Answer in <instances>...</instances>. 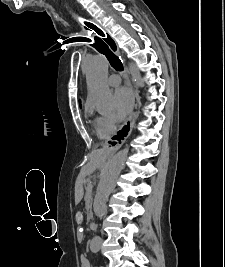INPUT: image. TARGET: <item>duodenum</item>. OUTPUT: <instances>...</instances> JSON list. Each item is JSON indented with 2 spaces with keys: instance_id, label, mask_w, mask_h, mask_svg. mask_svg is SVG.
Segmentation results:
<instances>
[{
  "instance_id": "obj_1",
  "label": "duodenum",
  "mask_w": 225,
  "mask_h": 267,
  "mask_svg": "<svg viewBox=\"0 0 225 267\" xmlns=\"http://www.w3.org/2000/svg\"><path fill=\"white\" fill-rule=\"evenodd\" d=\"M90 227H91L92 229H94V228L96 227V225H95L94 223H91V224H90Z\"/></svg>"
}]
</instances>
